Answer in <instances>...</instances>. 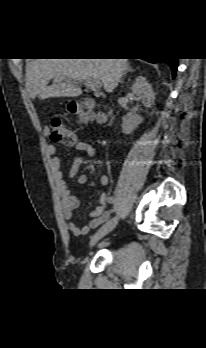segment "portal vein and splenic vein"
Segmentation results:
<instances>
[{"mask_svg": "<svg viewBox=\"0 0 206 348\" xmlns=\"http://www.w3.org/2000/svg\"><path fill=\"white\" fill-rule=\"evenodd\" d=\"M85 85L87 88L96 91L101 87V82L99 80L90 79L85 81Z\"/></svg>", "mask_w": 206, "mask_h": 348, "instance_id": "1", "label": "portal vein and splenic vein"}]
</instances>
